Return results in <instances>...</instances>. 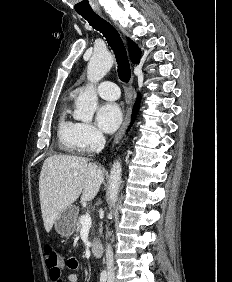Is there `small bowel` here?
Listing matches in <instances>:
<instances>
[{
	"label": "small bowel",
	"mask_w": 232,
	"mask_h": 282,
	"mask_svg": "<svg viewBox=\"0 0 232 282\" xmlns=\"http://www.w3.org/2000/svg\"><path fill=\"white\" fill-rule=\"evenodd\" d=\"M62 267H66L70 270H77L79 268V261L75 257H69L64 264L61 265ZM50 280L52 282H63V279L61 277V272L59 275H53L50 273ZM69 282H79V276L77 273L72 272L68 275Z\"/></svg>",
	"instance_id": "c3829d8e"
}]
</instances>
